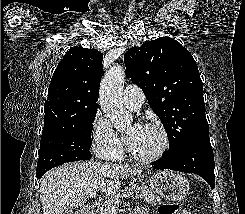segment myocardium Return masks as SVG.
<instances>
[{
	"mask_svg": "<svg viewBox=\"0 0 245 214\" xmlns=\"http://www.w3.org/2000/svg\"><path fill=\"white\" fill-rule=\"evenodd\" d=\"M143 126L154 129L160 133L162 137V143L159 149L151 155L136 154L132 152L128 146L126 147V150L132 159L142 162V163H151V162H154L160 159L166 153V151L168 150L170 146V137H169L167 130L164 128V126H162L159 123L148 122V123L143 124Z\"/></svg>",
	"mask_w": 245,
	"mask_h": 214,
	"instance_id": "obj_1",
	"label": "myocardium"
}]
</instances>
